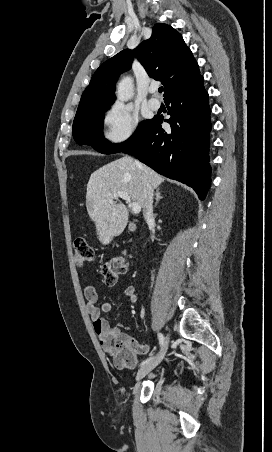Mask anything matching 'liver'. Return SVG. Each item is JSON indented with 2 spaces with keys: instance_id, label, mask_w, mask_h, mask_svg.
<instances>
[{
  "instance_id": "obj_1",
  "label": "liver",
  "mask_w": 272,
  "mask_h": 452,
  "mask_svg": "<svg viewBox=\"0 0 272 452\" xmlns=\"http://www.w3.org/2000/svg\"><path fill=\"white\" fill-rule=\"evenodd\" d=\"M133 158L124 156L93 172L87 184L86 207L94 222L99 241L109 244L121 234L128 223V210L118 197V191L128 193L131 200L144 206V176L153 188H158L164 178L148 166H138Z\"/></svg>"
}]
</instances>
